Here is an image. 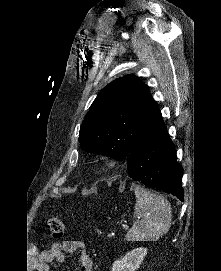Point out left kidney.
Here are the masks:
<instances>
[{"label":"left kidney","instance_id":"left-kidney-1","mask_svg":"<svg viewBox=\"0 0 221 271\" xmlns=\"http://www.w3.org/2000/svg\"><path fill=\"white\" fill-rule=\"evenodd\" d=\"M147 253V247H135L112 263L111 271H136Z\"/></svg>","mask_w":221,"mask_h":271}]
</instances>
